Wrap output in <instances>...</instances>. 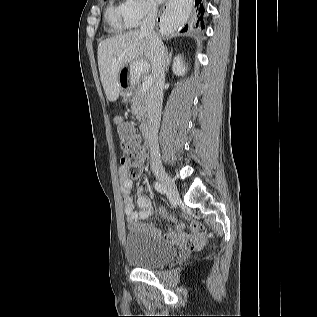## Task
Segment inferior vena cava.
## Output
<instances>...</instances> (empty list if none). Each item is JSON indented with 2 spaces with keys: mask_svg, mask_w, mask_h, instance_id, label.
<instances>
[{
  "mask_svg": "<svg viewBox=\"0 0 317 317\" xmlns=\"http://www.w3.org/2000/svg\"><path fill=\"white\" fill-rule=\"evenodd\" d=\"M148 14L143 20L140 32L145 35L152 44L153 50V84L147 96L148 127L146 139L150 148L151 163L154 169L161 165L158 145V130L160 126L163 87L165 83L166 55L162 41L154 31L158 8L155 4H149Z\"/></svg>",
  "mask_w": 317,
  "mask_h": 317,
  "instance_id": "inferior-vena-cava-1",
  "label": "inferior vena cava"
}]
</instances>
